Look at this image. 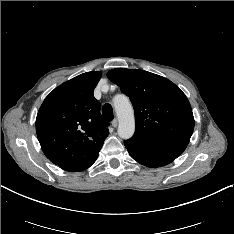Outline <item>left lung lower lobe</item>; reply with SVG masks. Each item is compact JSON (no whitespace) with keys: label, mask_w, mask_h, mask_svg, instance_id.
<instances>
[{"label":"left lung lower lobe","mask_w":234,"mask_h":234,"mask_svg":"<svg viewBox=\"0 0 234 234\" xmlns=\"http://www.w3.org/2000/svg\"><path fill=\"white\" fill-rule=\"evenodd\" d=\"M131 157L147 167L156 168L167 165L185 150V144H144L124 141Z\"/></svg>","instance_id":"left-lung-lower-lobe-1"}]
</instances>
